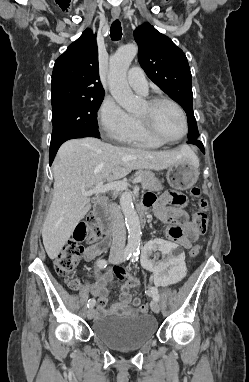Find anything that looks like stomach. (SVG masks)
I'll use <instances>...</instances> for the list:
<instances>
[{
    "mask_svg": "<svg viewBox=\"0 0 249 382\" xmlns=\"http://www.w3.org/2000/svg\"><path fill=\"white\" fill-rule=\"evenodd\" d=\"M198 158H188L171 165L167 172L169 185L177 190L191 188L199 177Z\"/></svg>",
    "mask_w": 249,
    "mask_h": 382,
    "instance_id": "stomach-1",
    "label": "stomach"
}]
</instances>
